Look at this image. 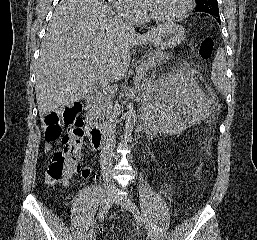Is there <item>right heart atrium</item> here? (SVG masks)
<instances>
[{"instance_id":"right-heart-atrium-1","label":"right heart atrium","mask_w":257,"mask_h":240,"mask_svg":"<svg viewBox=\"0 0 257 240\" xmlns=\"http://www.w3.org/2000/svg\"><path fill=\"white\" fill-rule=\"evenodd\" d=\"M113 9L133 23H140L145 16V8L140 0H109Z\"/></svg>"}]
</instances>
